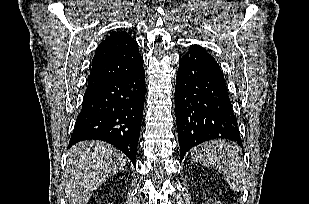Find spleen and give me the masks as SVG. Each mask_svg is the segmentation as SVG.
Instances as JSON below:
<instances>
[{
    "label": "spleen",
    "mask_w": 309,
    "mask_h": 204,
    "mask_svg": "<svg viewBox=\"0 0 309 204\" xmlns=\"http://www.w3.org/2000/svg\"><path fill=\"white\" fill-rule=\"evenodd\" d=\"M191 157L203 166L218 170L233 190L243 189L246 181L245 165L231 143L222 140L203 143L191 151Z\"/></svg>",
    "instance_id": "3e777b00"
}]
</instances>
